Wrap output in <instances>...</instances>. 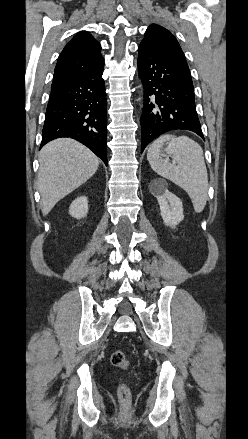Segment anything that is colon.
I'll return each mask as SVG.
<instances>
[{
	"label": "colon",
	"instance_id": "5ec220e1",
	"mask_svg": "<svg viewBox=\"0 0 248 439\" xmlns=\"http://www.w3.org/2000/svg\"><path fill=\"white\" fill-rule=\"evenodd\" d=\"M111 363L113 366L126 369L129 365L128 359L123 351H115L111 355ZM118 396L122 403H128L131 398L129 387L122 383L118 388Z\"/></svg>",
	"mask_w": 248,
	"mask_h": 439
}]
</instances>
